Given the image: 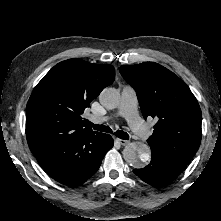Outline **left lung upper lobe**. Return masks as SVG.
<instances>
[{"mask_svg": "<svg viewBox=\"0 0 221 221\" xmlns=\"http://www.w3.org/2000/svg\"><path fill=\"white\" fill-rule=\"evenodd\" d=\"M119 70L135 89L143 117L157 120L147 140L151 152L186 167L200 146L202 120L189 87L154 62L123 65Z\"/></svg>", "mask_w": 221, "mask_h": 221, "instance_id": "1", "label": "left lung upper lobe"}]
</instances>
